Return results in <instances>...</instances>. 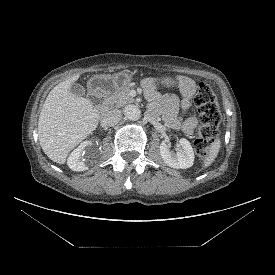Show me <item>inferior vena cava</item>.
I'll return each instance as SVG.
<instances>
[{"label":"inferior vena cava","mask_w":275,"mask_h":275,"mask_svg":"<svg viewBox=\"0 0 275 275\" xmlns=\"http://www.w3.org/2000/svg\"><path fill=\"white\" fill-rule=\"evenodd\" d=\"M121 111L118 109H113L108 111L104 118H103V122L108 125V126H113L116 125L120 119H121Z\"/></svg>","instance_id":"inferior-vena-cava-1"}]
</instances>
